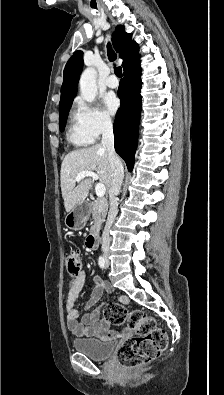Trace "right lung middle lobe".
Wrapping results in <instances>:
<instances>
[{"label":"right lung middle lobe","instance_id":"right-lung-middle-lobe-1","mask_svg":"<svg viewBox=\"0 0 224 395\" xmlns=\"http://www.w3.org/2000/svg\"><path fill=\"white\" fill-rule=\"evenodd\" d=\"M71 105L72 104L59 110V123H60V131L61 132L64 130L65 123H66Z\"/></svg>","mask_w":224,"mask_h":395}]
</instances>
